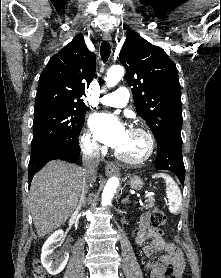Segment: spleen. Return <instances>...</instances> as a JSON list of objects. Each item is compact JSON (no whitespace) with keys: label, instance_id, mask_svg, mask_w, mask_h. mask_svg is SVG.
Listing matches in <instances>:
<instances>
[{"label":"spleen","instance_id":"1","mask_svg":"<svg viewBox=\"0 0 221 278\" xmlns=\"http://www.w3.org/2000/svg\"><path fill=\"white\" fill-rule=\"evenodd\" d=\"M153 178H163L165 180L169 212L178 214L182 205V195L176 182L171 176L164 173L154 174Z\"/></svg>","mask_w":221,"mask_h":278}]
</instances>
